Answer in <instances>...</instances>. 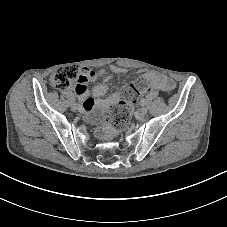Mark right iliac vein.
<instances>
[{
	"label": "right iliac vein",
	"instance_id": "63e3f726",
	"mask_svg": "<svg viewBox=\"0 0 227 227\" xmlns=\"http://www.w3.org/2000/svg\"><path fill=\"white\" fill-rule=\"evenodd\" d=\"M71 109H72L73 111H75V110L77 109L76 105H75V104H72V105H71Z\"/></svg>",
	"mask_w": 227,
	"mask_h": 227
}]
</instances>
